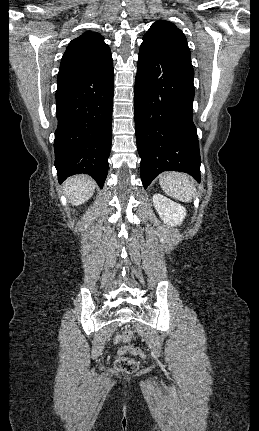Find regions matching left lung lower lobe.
I'll return each instance as SVG.
<instances>
[{
	"label": "left lung lower lobe",
	"instance_id": "obj_1",
	"mask_svg": "<svg viewBox=\"0 0 259 431\" xmlns=\"http://www.w3.org/2000/svg\"><path fill=\"white\" fill-rule=\"evenodd\" d=\"M191 62L143 42L135 78V132L147 188L163 171L186 172L200 181V153L192 120Z\"/></svg>",
	"mask_w": 259,
	"mask_h": 431
}]
</instances>
